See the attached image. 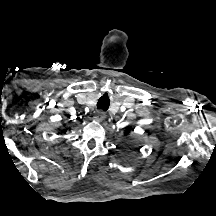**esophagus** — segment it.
I'll return each mask as SVG.
<instances>
[{
	"mask_svg": "<svg viewBox=\"0 0 216 216\" xmlns=\"http://www.w3.org/2000/svg\"><path fill=\"white\" fill-rule=\"evenodd\" d=\"M105 118V113L103 111H97L93 119L97 122H101Z\"/></svg>",
	"mask_w": 216,
	"mask_h": 216,
	"instance_id": "34e87169",
	"label": "esophagus"
}]
</instances>
